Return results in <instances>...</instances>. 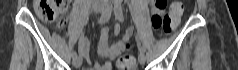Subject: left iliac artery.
Listing matches in <instances>:
<instances>
[{
	"label": "left iliac artery",
	"instance_id": "left-iliac-artery-1",
	"mask_svg": "<svg viewBox=\"0 0 238 70\" xmlns=\"http://www.w3.org/2000/svg\"><path fill=\"white\" fill-rule=\"evenodd\" d=\"M114 13H115L116 18L119 21H121V22L124 21V16H123L122 8H121V0H115V2H114ZM147 50H148V47L145 46V45H142L141 49H140V53H144Z\"/></svg>",
	"mask_w": 238,
	"mask_h": 70
}]
</instances>
